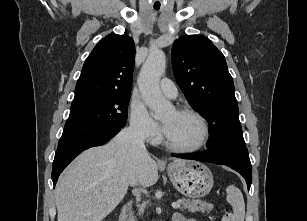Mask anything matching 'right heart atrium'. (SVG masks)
<instances>
[{"label": "right heart atrium", "instance_id": "d8ad5b80", "mask_svg": "<svg viewBox=\"0 0 307 221\" xmlns=\"http://www.w3.org/2000/svg\"><path fill=\"white\" fill-rule=\"evenodd\" d=\"M130 125L132 130L146 142L154 143L161 137L158 123L151 117L144 103L136 98L130 103Z\"/></svg>", "mask_w": 307, "mask_h": 221}]
</instances>
